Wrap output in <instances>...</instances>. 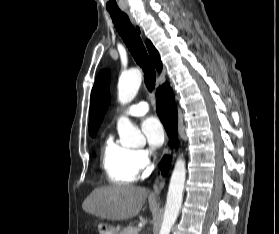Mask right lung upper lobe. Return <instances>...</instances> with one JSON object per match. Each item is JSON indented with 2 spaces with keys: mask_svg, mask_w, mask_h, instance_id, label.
<instances>
[{
  "mask_svg": "<svg viewBox=\"0 0 279 234\" xmlns=\"http://www.w3.org/2000/svg\"><path fill=\"white\" fill-rule=\"evenodd\" d=\"M146 46L156 69L160 72L162 70V62L160 60L158 51L155 49V47L149 40L146 41Z\"/></svg>",
  "mask_w": 279,
  "mask_h": 234,
  "instance_id": "obj_1",
  "label": "right lung upper lobe"
}]
</instances>
